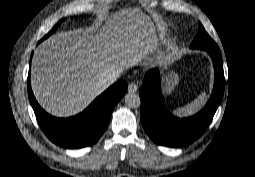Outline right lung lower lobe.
<instances>
[{
    "label": "right lung lower lobe",
    "instance_id": "1",
    "mask_svg": "<svg viewBox=\"0 0 255 177\" xmlns=\"http://www.w3.org/2000/svg\"><path fill=\"white\" fill-rule=\"evenodd\" d=\"M126 89L125 81L118 82L82 113L61 119L49 115L39 106L28 81L29 99L41 128L51 141L65 148H82L95 143L105 131L112 110Z\"/></svg>",
    "mask_w": 255,
    "mask_h": 177
}]
</instances>
